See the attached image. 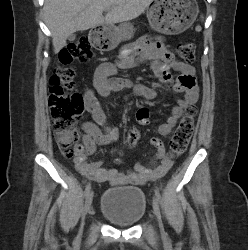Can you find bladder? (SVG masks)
Segmentation results:
<instances>
[{
	"instance_id": "1",
	"label": "bladder",
	"mask_w": 248,
	"mask_h": 250,
	"mask_svg": "<svg viewBox=\"0 0 248 250\" xmlns=\"http://www.w3.org/2000/svg\"><path fill=\"white\" fill-rule=\"evenodd\" d=\"M146 210L144 191L133 186H119L106 190L99 204L100 213L121 227L136 224L143 218Z\"/></svg>"
}]
</instances>
